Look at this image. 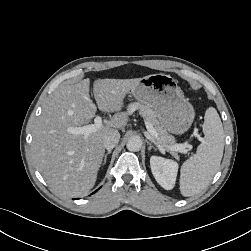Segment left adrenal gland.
<instances>
[{
	"label": "left adrenal gland",
	"mask_w": 251,
	"mask_h": 251,
	"mask_svg": "<svg viewBox=\"0 0 251 251\" xmlns=\"http://www.w3.org/2000/svg\"><path fill=\"white\" fill-rule=\"evenodd\" d=\"M148 145H149V147H148V150H149V151H150L151 149L157 150V148L154 147L150 142H148Z\"/></svg>",
	"instance_id": "left-adrenal-gland-1"
}]
</instances>
